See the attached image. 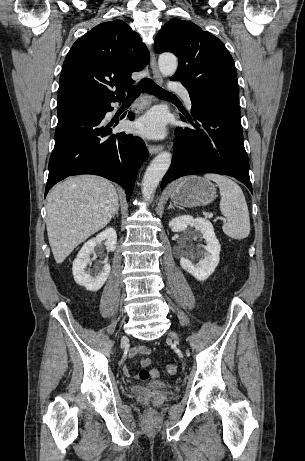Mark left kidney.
Masks as SVG:
<instances>
[{
    "label": "left kidney",
    "instance_id": "1",
    "mask_svg": "<svg viewBox=\"0 0 305 461\" xmlns=\"http://www.w3.org/2000/svg\"><path fill=\"white\" fill-rule=\"evenodd\" d=\"M188 226L194 227L195 232L202 234L206 240V245L203 249H199L201 260L198 264H194L189 258H193L194 250L188 248L187 254L180 259V265L184 270L190 273L199 281H205L217 267L220 257L221 246L215 236V232L211 222L204 218H193L190 215L179 216L169 222V227L173 232L185 231Z\"/></svg>",
    "mask_w": 305,
    "mask_h": 461
}]
</instances>
